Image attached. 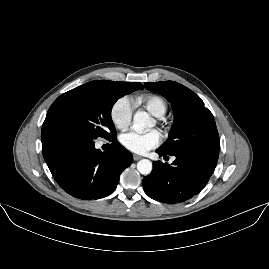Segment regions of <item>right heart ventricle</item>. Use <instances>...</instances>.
Here are the masks:
<instances>
[{
	"mask_svg": "<svg viewBox=\"0 0 269 269\" xmlns=\"http://www.w3.org/2000/svg\"><path fill=\"white\" fill-rule=\"evenodd\" d=\"M139 102L155 116H162L166 113V103L158 96H146Z\"/></svg>",
	"mask_w": 269,
	"mask_h": 269,
	"instance_id": "right-heart-ventricle-1",
	"label": "right heart ventricle"
}]
</instances>
